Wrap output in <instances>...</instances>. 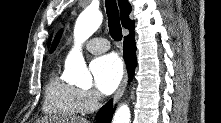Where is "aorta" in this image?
<instances>
[{
  "mask_svg": "<svg viewBox=\"0 0 221 123\" xmlns=\"http://www.w3.org/2000/svg\"><path fill=\"white\" fill-rule=\"evenodd\" d=\"M102 19L99 10L86 8L76 20L74 28L75 47L66 58L65 73L67 79L77 86L89 87L92 85V76L81 53V45L99 28ZM112 123H130V109L126 104L118 108Z\"/></svg>",
  "mask_w": 221,
  "mask_h": 123,
  "instance_id": "obj_1",
  "label": "aorta"
}]
</instances>
